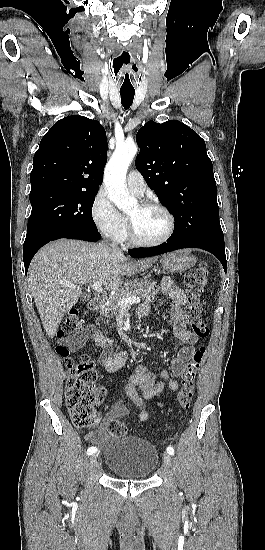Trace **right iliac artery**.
Returning <instances> with one entry per match:
<instances>
[{
  "instance_id": "82829eb1",
  "label": "right iliac artery",
  "mask_w": 265,
  "mask_h": 550,
  "mask_svg": "<svg viewBox=\"0 0 265 550\" xmlns=\"http://www.w3.org/2000/svg\"><path fill=\"white\" fill-rule=\"evenodd\" d=\"M97 451V448L95 446H91L87 450V455H92Z\"/></svg>"
}]
</instances>
